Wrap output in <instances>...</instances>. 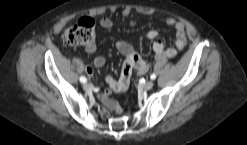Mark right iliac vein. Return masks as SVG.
<instances>
[{"label": "right iliac vein", "instance_id": "63e3f726", "mask_svg": "<svg viewBox=\"0 0 247 145\" xmlns=\"http://www.w3.org/2000/svg\"><path fill=\"white\" fill-rule=\"evenodd\" d=\"M83 88H84V90L88 91L92 88V85L90 83H84Z\"/></svg>", "mask_w": 247, "mask_h": 145}]
</instances>
